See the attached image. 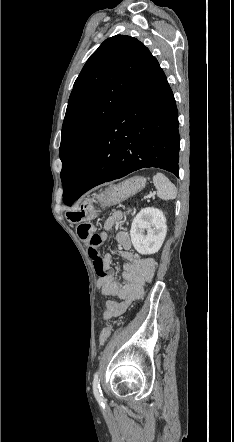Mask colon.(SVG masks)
Masks as SVG:
<instances>
[{
  "label": "colon",
  "instance_id": "5ec220e1",
  "mask_svg": "<svg viewBox=\"0 0 234 442\" xmlns=\"http://www.w3.org/2000/svg\"><path fill=\"white\" fill-rule=\"evenodd\" d=\"M79 237L89 245V249H94L100 242V237L96 233L95 227L91 223H82L77 228ZM112 327H105L100 333V343H105L111 335Z\"/></svg>",
  "mask_w": 234,
  "mask_h": 442
}]
</instances>
